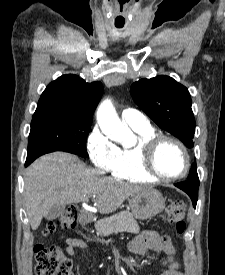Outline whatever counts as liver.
Wrapping results in <instances>:
<instances>
[{
	"instance_id": "liver-1",
	"label": "liver",
	"mask_w": 225,
	"mask_h": 275,
	"mask_svg": "<svg viewBox=\"0 0 225 275\" xmlns=\"http://www.w3.org/2000/svg\"><path fill=\"white\" fill-rule=\"evenodd\" d=\"M24 200L32 230H36L53 205L87 201L94 203L102 214L116 211L135 193L149 188L103 177L87 167L77 156L53 152L41 156L27 169Z\"/></svg>"
}]
</instances>
